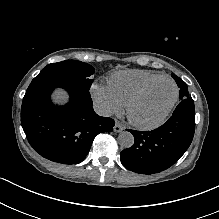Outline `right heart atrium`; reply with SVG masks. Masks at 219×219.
Masks as SVG:
<instances>
[{
	"mask_svg": "<svg viewBox=\"0 0 219 219\" xmlns=\"http://www.w3.org/2000/svg\"><path fill=\"white\" fill-rule=\"evenodd\" d=\"M91 94L101 114L110 116L121 113V104L113 97L108 88L100 84H95L92 86Z\"/></svg>",
	"mask_w": 219,
	"mask_h": 219,
	"instance_id": "obj_1",
	"label": "right heart atrium"
}]
</instances>
